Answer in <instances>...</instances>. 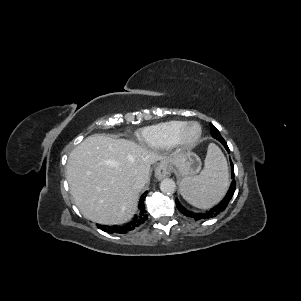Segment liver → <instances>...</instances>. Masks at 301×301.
Listing matches in <instances>:
<instances>
[{
  "instance_id": "6515ba94",
  "label": "liver",
  "mask_w": 301,
  "mask_h": 301,
  "mask_svg": "<svg viewBox=\"0 0 301 301\" xmlns=\"http://www.w3.org/2000/svg\"><path fill=\"white\" fill-rule=\"evenodd\" d=\"M163 156L126 139L87 137L70 153L66 179L83 216L105 225L128 222L137 208L133 180H150V166Z\"/></svg>"
}]
</instances>
